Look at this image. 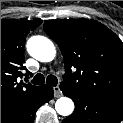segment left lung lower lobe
I'll list each match as a JSON object with an SVG mask.
<instances>
[{
  "mask_svg": "<svg viewBox=\"0 0 123 123\" xmlns=\"http://www.w3.org/2000/svg\"><path fill=\"white\" fill-rule=\"evenodd\" d=\"M60 89L75 103L74 112L62 123H120L122 120L123 104L91 96L63 83Z\"/></svg>",
  "mask_w": 123,
  "mask_h": 123,
  "instance_id": "1",
  "label": "left lung lower lobe"
}]
</instances>
